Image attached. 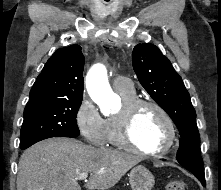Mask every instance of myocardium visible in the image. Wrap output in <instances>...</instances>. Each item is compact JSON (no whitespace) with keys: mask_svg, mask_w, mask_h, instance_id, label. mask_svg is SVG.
Instances as JSON below:
<instances>
[{"mask_svg":"<svg viewBox=\"0 0 221 190\" xmlns=\"http://www.w3.org/2000/svg\"><path fill=\"white\" fill-rule=\"evenodd\" d=\"M149 106L154 108L163 118L168 129V137L165 145L159 149L145 150L139 148L132 140L131 137V123L136 111L143 107ZM117 121L119 141L123 148L132 151L134 153L144 156H160L168 153L174 146L176 141V127L174 121L168 112L157 102L136 98L130 101H124L122 108L115 115Z\"/></svg>","mask_w":221,"mask_h":190,"instance_id":"myocardium-1","label":"myocardium"}]
</instances>
